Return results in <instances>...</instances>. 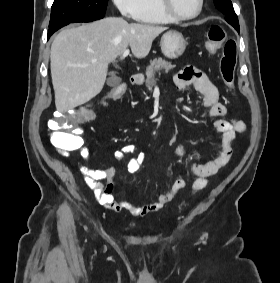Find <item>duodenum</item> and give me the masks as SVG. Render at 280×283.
Returning <instances> with one entry per match:
<instances>
[{
    "instance_id": "410a0bca",
    "label": "duodenum",
    "mask_w": 280,
    "mask_h": 283,
    "mask_svg": "<svg viewBox=\"0 0 280 283\" xmlns=\"http://www.w3.org/2000/svg\"><path fill=\"white\" fill-rule=\"evenodd\" d=\"M144 82V78L141 74H133L131 78V83L133 86L142 85Z\"/></svg>"
}]
</instances>
